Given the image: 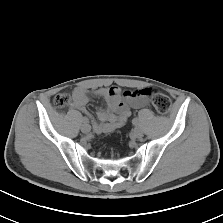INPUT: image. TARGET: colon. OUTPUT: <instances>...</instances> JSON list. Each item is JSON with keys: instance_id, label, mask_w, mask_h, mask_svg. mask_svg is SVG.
<instances>
[{"instance_id": "obj_1", "label": "colon", "mask_w": 223, "mask_h": 223, "mask_svg": "<svg viewBox=\"0 0 223 223\" xmlns=\"http://www.w3.org/2000/svg\"><path fill=\"white\" fill-rule=\"evenodd\" d=\"M151 102L152 106L155 109V111L159 114H167L170 110V100L169 98L159 92H154L151 95ZM72 103V98L69 94L66 93H60L56 95L53 99V104L55 107L61 109V108H66Z\"/></svg>"}]
</instances>
